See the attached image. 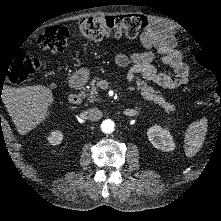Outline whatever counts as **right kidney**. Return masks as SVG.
<instances>
[{
	"label": "right kidney",
	"instance_id": "obj_1",
	"mask_svg": "<svg viewBox=\"0 0 221 221\" xmlns=\"http://www.w3.org/2000/svg\"><path fill=\"white\" fill-rule=\"evenodd\" d=\"M64 138V135L62 131L60 130H51L46 137L47 141L51 145H59L61 144L62 140Z\"/></svg>",
	"mask_w": 221,
	"mask_h": 221
}]
</instances>
